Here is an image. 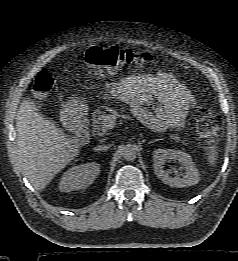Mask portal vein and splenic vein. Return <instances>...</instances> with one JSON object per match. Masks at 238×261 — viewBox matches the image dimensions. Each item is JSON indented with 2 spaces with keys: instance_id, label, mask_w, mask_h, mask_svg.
I'll use <instances>...</instances> for the list:
<instances>
[{
  "instance_id": "portal-vein-and-splenic-vein-1",
  "label": "portal vein and splenic vein",
  "mask_w": 238,
  "mask_h": 261,
  "mask_svg": "<svg viewBox=\"0 0 238 261\" xmlns=\"http://www.w3.org/2000/svg\"><path fill=\"white\" fill-rule=\"evenodd\" d=\"M116 118L111 114H106L103 119V126L107 129H112L115 126Z\"/></svg>"
}]
</instances>
